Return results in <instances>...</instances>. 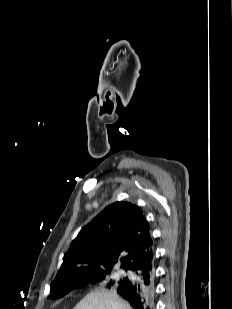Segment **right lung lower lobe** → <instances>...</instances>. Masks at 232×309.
<instances>
[{
    "mask_svg": "<svg viewBox=\"0 0 232 309\" xmlns=\"http://www.w3.org/2000/svg\"><path fill=\"white\" fill-rule=\"evenodd\" d=\"M126 270L130 275L114 289L134 309H155L154 257H145Z\"/></svg>",
    "mask_w": 232,
    "mask_h": 309,
    "instance_id": "1",
    "label": "right lung lower lobe"
}]
</instances>
